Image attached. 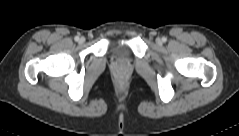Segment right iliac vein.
<instances>
[{
  "instance_id": "right-iliac-vein-1",
  "label": "right iliac vein",
  "mask_w": 239,
  "mask_h": 136,
  "mask_svg": "<svg viewBox=\"0 0 239 136\" xmlns=\"http://www.w3.org/2000/svg\"><path fill=\"white\" fill-rule=\"evenodd\" d=\"M85 42V38L84 37H81L80 39H79V43H84Z\"/></svg>"
}]
</instances>
